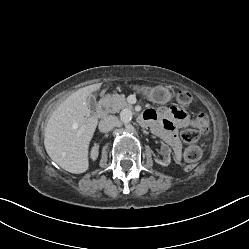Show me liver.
Here are the masks:
<instances>
[{
    "label": "liver",
    "instance_id": "obj_1",
    "mask_svg": "<svg viewBox=\"0 0 249 249\" xmlns=\"http://www.w3.org/2000/svg\"><path fill=\"white\" fill-rule=\"evenodd\" d=\"M101 85H89L74 92L57 107L47 122L46 152L70 173H84L89 168L88 148L98 120L90 115L88 97Z\"/></svg>",
    "mask_w": 249,
    "mask_h": 249
}]
</instances>
